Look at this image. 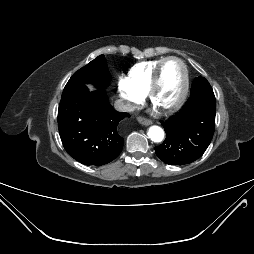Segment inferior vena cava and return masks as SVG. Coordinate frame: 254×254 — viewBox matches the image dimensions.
Returning a JSON list of instances; mask_svg holds the SVG:
<instances>
[{"label": "inferior vena cava", "mask_w": 254, "mask_h": 254, "mask_svg": "<svg viewBox=\"0 0 254 254\" xmlns=\"http://www.w3.org/2000/svg\"><path fill=\"white\" fill-rule=\"evenodd\" d=\"M115 108L121 112H131L134 110V106L123 100L115 101Z\"/></svg>", "instance_id": "602c4592"}]
</instances>
